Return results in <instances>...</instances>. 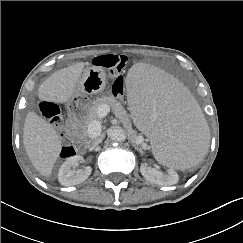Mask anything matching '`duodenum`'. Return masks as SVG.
<instances>
[{
  "instance_id": "410a0bca",
  "label": "duodenum",
  "mask_w": 243,
  "mask_h": 243,
  "mask_svg": "<svg viewBox=\"0 0 243 243\" xmlns=\"http://www.w3.org/2000/svg\"><path fill=\"white\" fill-rule=\"evenodd\" d=\"M78 122L75 118H72L71 122L67 125L68 134L77 140V147L83 151L87 148V142L79 137Z\"/></svg>"
}]
</instances>
